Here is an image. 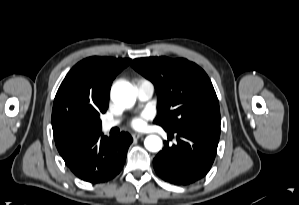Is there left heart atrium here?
Wrapping results in <instances>:
<instances>
[{
	"label": "left heart atrium",
	"instance_id": "left-heart-atrium-1",
	"mask_svg": "<svg viewBox=\"0 0 299 205\" xmlns=\"http://www.w3.org/2000/svg\"><path fill=\"white\" fill-rule=\"evenodd\" d=\"M131 125L135 129H141L143 127V121L141 118H135L132 120Z\"/></svg>",
	"mask_w": 299,
	"mask_h": 205
}]
</instances>
